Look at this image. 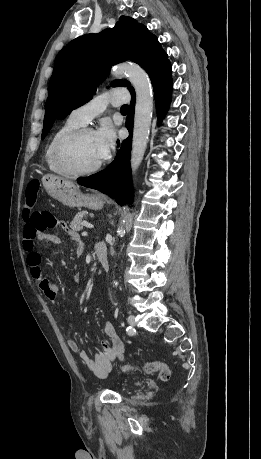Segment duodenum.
<instances>
[{
    "label": "duodenum",
    "instance_id": "obj_1",
    "mask_svg": "<svg viewBox=\"0 0 261 459\" xmlns=\"http://www.w3.org/2000/svg\"><path fill=\"white\" fill-rule=\"evenodd\" d=\"M94 252L96 255V258L100 265L107 270L109 268V263H108V257H107V250L104 244L102 243H96L94 246Z\"/></svg>",
    "mask_w": 261,
    "mask_h": 459
}]
</instances>
